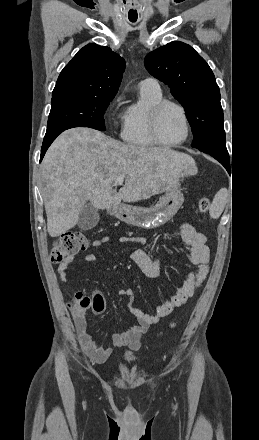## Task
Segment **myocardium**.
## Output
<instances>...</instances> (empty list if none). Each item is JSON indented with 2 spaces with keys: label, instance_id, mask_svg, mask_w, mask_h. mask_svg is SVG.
Masks as SVG:
<instances>
[{
  "label": "myocardium",
  "instance_id": "obj_1",
  "mask_svg": "<svg viewBox=\"0 0 259 440\" xmlns=\"http://www.w3.org/2000/svg\"><path fill=\"white\" fill-rule=\"evenodd\" d=\"M168 106H173L180 111L182 118H183V121H184V125H185L184 137L181 140H179L177 142H173V143L164 142L160 138L159 131H158L159 119H160L161 113ZM149 132H150L151 138L153 139V141L155 142L156 145L166 147V148H173V147H178V146L184 144L188 140L190 133H191V126H190L189 118H188V115H187L185 108L180 103H178L176 101L162 99L160 102L155 104L150 110V113H149Z\"/></svg>",
  "mask_w": 259,
  "mask_h": 440
}]
</instances>
